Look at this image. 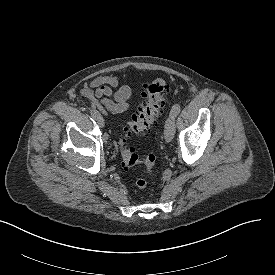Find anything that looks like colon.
<instances>
[{
	"mask_svg": "<svg viewBox=\"0 0 275 275\" xmlns=\"http://www.w3.org/2000/svg\"><path fill=\"white\" fill-rule=\"evenodd\" d=\"M170 91V85L163 78H156L150 82L142 93V102L137 111L132 115L129 121L122 125V135L119 139L123 164L126 170H131L135 166L142 164L144 166L143 174L135 181L138 190H144L148 187L150 177L154 173L155 156L149 154L140 158L133 148L126 147V137L130 134L144 136L155 127L162 109L165 105V96Z\"/></svg>",
	"mask_w": 275,
	"mask_h": 275,
	"instance_id": "1",
	"label": "colon"
}]
</instances>
